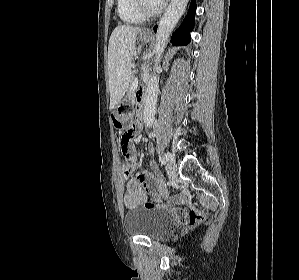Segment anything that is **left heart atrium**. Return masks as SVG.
<instances>
[{
    "mask_svg": "<svg viewBox=\"0 0 299 280\" xmlns=\"http://www.w3.org/2000/svg\"><path fill=\"white\" fill-rule=\"evenodd\" d=\"M159 4H163L166 0H156Z\"/></svg>",
    "mask_w": 299,
    "mask_h": 280,
    "instance_id": "1",
    "label": "left heart atrium"
}]
</instances>
